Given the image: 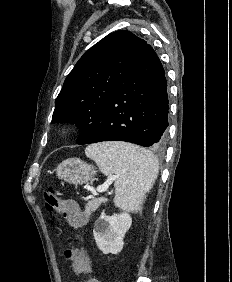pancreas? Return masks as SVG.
Masks as SVG:
<instances>
[{
  "mask_svg": "<svg viewBox=\"0 0 232 282\" xmlns=\"http://www.w3.org/2000/svg\"><path fill=\"white\" fill-rule=\"evenodd\" d=\"M103 201L104 200L101 199V198L92 199V200L88 201V203L85 206V213L87 215H91L92 212H95L98 209V207L101 205V203Z\"/></svg>",
  "mask_w": 232,
  "mask_h": 282,
  "instance_id": "1",
  "label": "pancreas"
}]
</instances>
